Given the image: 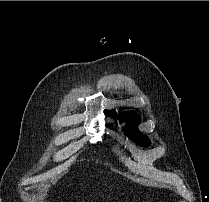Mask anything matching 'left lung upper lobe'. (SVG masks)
Listing matches in <instances>:
<instances>
[{"mask_svg":"<svg viewBox=\"0 0 209 202\" xmlns=\"http://www.w3.org/2000/svg\"><path fill=\"white\" fill-rule=\"evenodd\" d=\"M120 121H127V126L125 128V134L130 136L139 146L147 147L150 145V140L147 136L141 135L138 131L137 126L140 123V118L134 112L123 113Z\"/></svg>","mask_w":209,"mask_h":202,"instance_id":"left-lung-upper-lobe-1","label":"left lung upper lobe"}]
</instances>
